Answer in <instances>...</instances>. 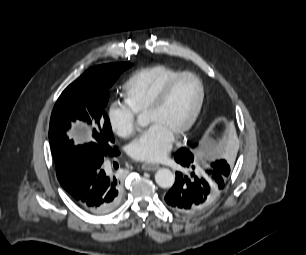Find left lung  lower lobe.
I'll return each instance as SVG.
<instances>
[{
  "label": "left lung lower lobe",
  "instance_id": "obj_1",
  "mask_svg": "<svg viewBox=\"0 0 306 255\" xmlns=\"http://www.w3.org/2000/svg\"><path fill=\"white\" fill-rule=\"evenodd\" d=\"M175 161L191 175L176 172L173 187L165 195V201L171 209L182 214H192L203 209L214 196L224 187V181L229 176L228 164L214 165L206 170L210 178L197 175L194 156L188 148H181L175 154Z\"/></svg>",
  "mask_w": 306,
  "mask_h": 255
}]
</instances>
